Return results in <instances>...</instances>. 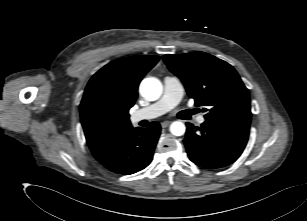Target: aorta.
I'll return each mask as SVG.
<instances>
[{
	"mask_svg": "<svg viewBox=\"0 0 307 221\" xmlns=\"http://www.w3.org/2000/svg\"><path fill=\"white\" fill-rule=\"evenodd\" d=\"M140 94L149 101L157 100L162 94L161 82L153 77L145 78L140 84ZM186 127L184 123L175 121L170 125V132L174 136H182L185 133Z\"/></svg>",
	"mask_w": 307,
	"mask_h": 221,
	"instance_id": "762f6f07",
	"label": "aorta"
}]
</instances>
